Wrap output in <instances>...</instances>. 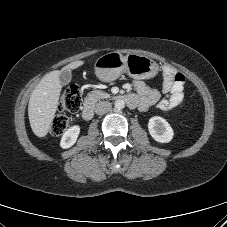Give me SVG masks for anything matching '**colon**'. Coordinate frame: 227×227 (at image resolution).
<instances>
[{
	"label": "colon",
	"mask_w": 227,
	"mask_h": 227,
	"mask_svg": "<svg viewBox=\"0 0 227 227\" xmlns=\"http://www.w3.org/2000/svg\"><path fill=\"white\" fill-rule=\"evenodd\" d=\"M82 103V93L77 85L70 86L62 95L59 103L60 114L56 115L51 124V132L54 135L62 134L68 124L69 118L66 113H76Z\"/></svg>",
	"instance_id": "5ec220e1"
}]
</instances>
